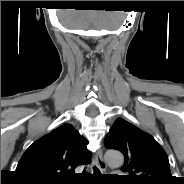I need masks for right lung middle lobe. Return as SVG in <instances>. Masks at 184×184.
Here are the masks:
<instances>
[{
  "label": "right lung middle lobe",
  "mask_w": 184,
  "mask_h": 184,
  "mask_svg": "<svg viewBox=\"0 0 184 184\" xmlns=\"http://www.w3.org/2000/svg\"><path fill=\"white\" fill-rule=\"evenodd\" d=\"M32 183H34V182H32ZM34 184H46V183H34Z\"/></svg>",
  "instance_id": "right-lung-middle-lobe-1"
}]
</instances>
